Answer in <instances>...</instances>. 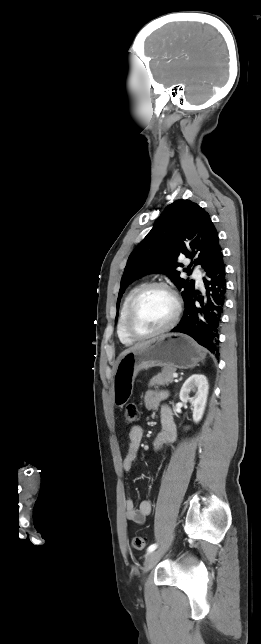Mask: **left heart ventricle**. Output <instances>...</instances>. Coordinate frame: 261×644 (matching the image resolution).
I'll list each match as a JSON object with an SVG mask.
<instances>
[{
  "mask_svg": "<svg viewBox=\"0 0 261 644\" xmlns=\"http://www.w3.org/2000/svg\"><path fill=\"white\" fill-rule=\"evenodd\" d=\"M174 313V302L168 292L152 288L139 299L134 316L133 328L139 334H147L165 326Z\"/></svg>",
  "mask_w": 261,
  "mask_h": 644,
  "instance_id": "1",
  "label": "left heart ventricle"
}]
</instances>
